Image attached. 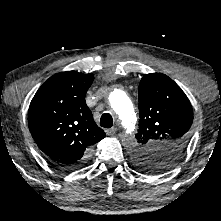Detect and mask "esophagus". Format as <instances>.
Here are the masks:
<instances>
[{"instance_id":"34e87169","label":"esophagus","mask_w":221,"mask_h":221,"mask_svg":"<svg viewBox=\"0 0 221 221\" xmlns=\"http://www.w3.org/2000/svg\"><path fill=\"white\" fill-rule=\"evenodd\" d=\"M116 131H117V128L113 127V128L106 130V134L108 136H113L116 133Z\"/></svg>"}]
</instances>
